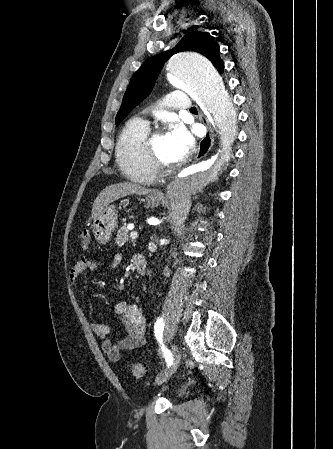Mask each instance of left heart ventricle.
<instances>
[{
  "instance_id": "b2bd125f",
  "label": "left heart ventricle",
  "mask_w": 333,
  "mask_h": 449,
  "mask_svg": "<svg viewBox=\"0 0 333 449\" xmlns=\"http://www.w3.org/2000/svg\"><path fill=\"white\" fill-rule=\"evenodd\" d=\"M153 146L156 154L163 162L169 165H173L175 163L165 134L156 136L153 140Z\"/></svg>"
}]
</instances>
